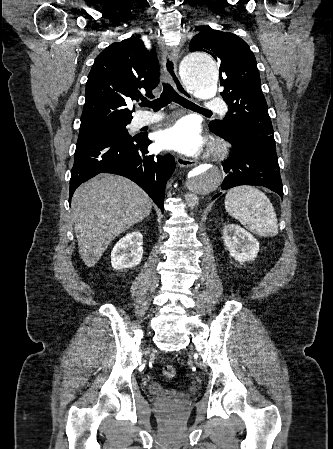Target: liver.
I'll use <instances>...</instances> for the list:
<instances>
[{"instance_id": "obj_1", "label": "liver", "mask_w": 333, "mask_h": 449, "mask_svg": "<svg viewBox=\"0 0 333 449\" xmlns=\"http://www.w3.org/2000/svg\"><path fill=\"white\" fill-rule=\"evenodd\" d=\"M71 210L80 255L91 267L113 239L151 213L152 200L133 181L100 174L76 189Z\"/></svg>"}]
</instances>
